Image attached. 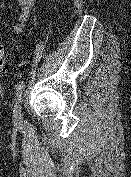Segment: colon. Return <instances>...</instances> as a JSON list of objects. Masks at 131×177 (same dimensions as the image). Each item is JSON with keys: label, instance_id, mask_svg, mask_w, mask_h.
<instances>
[{"label": "colon", "instance_id": "5ec220e1", "mask_svg": "<svg viewBox=\"0 0 131 177\" xmlns=\"http://www.w3.org/2000/svg\"><path fill=\"white\" fill-rule=\"evenodd\" d=\"M9 67L7 56H6V49L3 44L0 43V71H6Z\"/></svg>", "mask_w": 131, "mask_h": 177}]
</instances>
